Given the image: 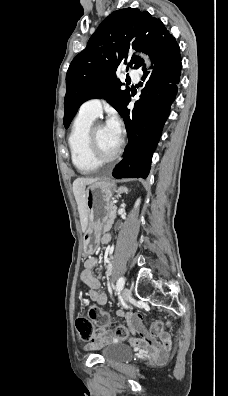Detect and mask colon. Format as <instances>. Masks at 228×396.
<instances>
[{"mask_svg":"<svg viewBox=\"0 0 228 396\" xmlns=\"http://www.w3.org/2000/svg\"><path fill=\"white\" fill-rule=\"evenodd\" d=\"M109 325V315L103 309L92 306L89 310V318L80 317L76 320V328L79 335L84 340H91L95 334V326L107 327ZM150 334L158 336L163 332V324L160 321H154L150 325ZM115 335L119 339H126L128 336L127 329L119 325L115 328Z\"/></svg>","mask_w":228,"mask_h":396,"instance_id":"colon-1","label":"colon"}]
</instances>
